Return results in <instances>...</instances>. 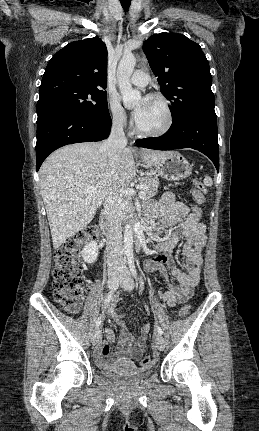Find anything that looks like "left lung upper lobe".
<instances>
[{
    "label": "left lung upper lobe",
    "mask_w": 259,
    "mask_h": 431,
    "mask_svg": "<svg viewBox=\"0 0 259 431\" xmlns=\"http://www.w3.org/2000/svg\"><path fill=\"white\" fill-rule=\"evenodd\" d=\"M161 93L171 101L172 119L190 113L217 117L212 76L199 44L178 33H160L143 44Z\"/></svg>",
    "instance_id": "1"
}]
</instances>
